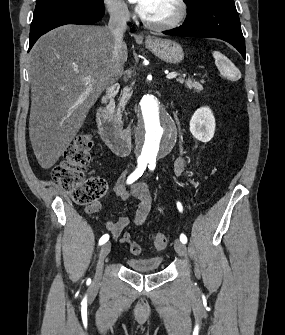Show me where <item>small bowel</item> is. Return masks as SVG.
<instances>
[{"label": "small bowel", "mask_w": 285, "mask_h": 335, "mask_svg": "<svg viewBox=\"0 0 285 335\" xmlns=\"http://www.w3.org/2000/svg\"><path fill=\"white\" fill-rule=\"evenodd\" d=\"M186 168V161L183 158H179L175 162V173L181 175L184 173ZM130 176V175H129ZM128 173L125 171L119 177L114 187L115 195L122 201H127L131 197L135 198L138 202L136 214L134 217V223L137 227L142 226L150 217L151 214V194L148 186L143 182L135 183L131 190L126 189V183L128 179ZM101 205L98 201L85 207L87 214H94L98 212ZM129 218L126 216H120L116 220L108 221L105 224L106 230L115 238L119 237L123 230L129 225Z\"/></svg>", "instance_id": "small-bowel-1"}]
</instances>
